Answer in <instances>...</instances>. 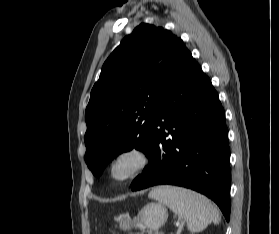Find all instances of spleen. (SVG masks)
Listing matches in <instances>:
<instances>
[{
  "mask_svg": "<svg viewBox=\"0 0 279 234\" xmlns=\"http://www.w3.org/2000/svg\"><path fill=\"white\" fill-rule=\"evenodd\" d=\"M149 196L182 217L192 233L203 231L209 224L221 222L216 207L203 195L175 186H159Z\"/></svg>",
  "mask_w": 279,
  "mask_h": 234,
  "instance_id": "obj_1",
  "label": "spleen"
}]
</instances>
